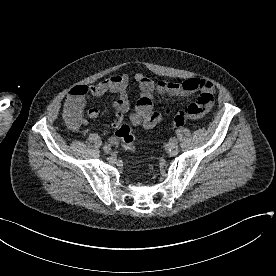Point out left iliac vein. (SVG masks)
I'll use <instances>...</instances> for the list:
<instances>
[{
  "instance_id": "4c4485c4",
  "label": "left iliac vein",
  "mask_w": 276,
  "mask_h": 276,
  "mask_svg": "<svg viewBox=\"0 0 276 276\" xmlns=\"http://www.w3.org/2000/svg\"><path fill=\"white\" fill-rule=\"evenodd\" d=\"M169 153H170L171 156H176L179 153L178 146L177 145H172L170 147V152Z\"/></svg>"
}]
</instances>
